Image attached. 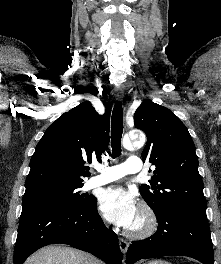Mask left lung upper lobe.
<instances>
[{
	"label": "left lung upper lobe",
	"instance_id": "left-lung-upper-lobe-1",
	"mask_svg": "<svg viewBox=\"0 0 221 264\" xmlns=\"http://www.w3.org/2000/svg\"><path fill=\"white\" fill-rule=\"evenodd\" d=\"M134 124L147 135L143 161L156 166L150 185L140 187L151 209L155 213L173 208L206 210L195 145L180 119L147 100L136 110Z\"/></svg>",
	"mask_w": 221,
	"mask_h": 264
}]
</instances>
